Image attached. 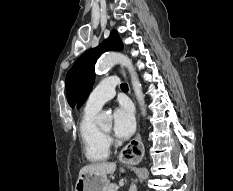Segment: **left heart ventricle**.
Returning <instances> with one entry per match:
<instances>
[{"mask_svg":"<svg viewBox=\"0 0 233 191\" xmlns=\"http://www.w3.org/2000/svg\"><path fill=\"white\" fill-rule=\"evenodd\" d=\"M102 130L108 132L110 130V126L103 127Z\"/></svg>","mask_w":233,"mask_h":191,"instance_id":"obj_1","label":"left heart ventricle"}]
</instances>
